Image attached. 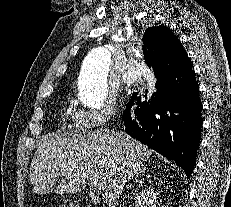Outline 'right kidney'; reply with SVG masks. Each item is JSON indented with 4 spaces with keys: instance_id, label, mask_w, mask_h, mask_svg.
<instances>
[{
    "instance_id": "obj_1",
    "label": "right kidney",
    "mask_w": 231,
    "mask_h": 207,
    "mask_svg": "<svg viewBox=\"0 0 231 207\" xmlns=\"http://www.w3.org/2000/svg\"><path fill=\"white\" fill-rule=\"evenodd\" d=\"M156 194L153 189H145L135 198V207H156Z\"/></svg>"
}]
</instances>
